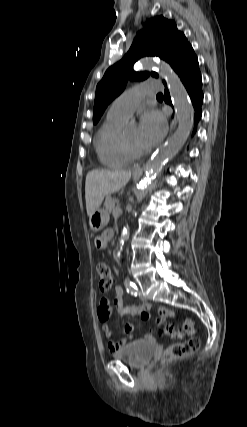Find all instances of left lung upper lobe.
I'll return each instance as SVG.
<instances>
[{
  "label": "left lung upper lobe",
  "instance_id": "5c2ea615",
  "mask_svg": "<svg viewBox=\"0 0 247 427\" xmlns=\"http://www.w3.org/2000/svg\"><path fill=\"white\" fill-rule=\"evenodd\" d=\"M143 56H157L168 62L176 73L193 57L194 50L174 21L157 16L147 21L136 35L127 54L105 72L96 88L93 123L96 124L107 105L124 89L127 79H146L150 73L133 72V64ZM158 77L156 72H151ZM165 83V81H164Z\"/></svg>",
  "mask_w": 247,
  "mask_h": 427
}]
</instances>
